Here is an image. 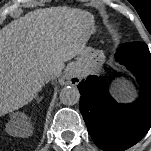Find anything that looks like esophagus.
<instances>
[{"instance_id": "esophagus-1", "label": "esophagus", "mask_w": 151, "mask_h": 151, "mask_svg": "<svg viewBox=\"0 0 151 151\" xmlns=\"http://www.w3.org/2000/svg\"><path fill=\"white\" fill-rule=\"evenodd\" d=\"M80 81H81V75L75 69H71V70L67 71L60 79V83L62 85L75 86V85L79 84Z\"/></svg>"}]
</instances>
